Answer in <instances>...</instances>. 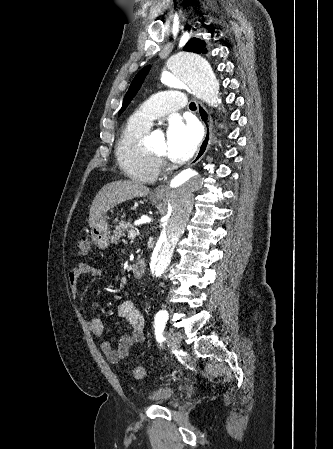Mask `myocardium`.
I'll list each match as a JSON object with an SVG mask.
<instances>
[{
	"instance_id": "1",
	"label": "myocardium",
	"mask_w": 333,
	"mask_h": 449,
	"mask_svg": "<svg viewBox=\"0 0 333 449\" xmlns=\"http://www.w3.org/2000/svg\"><path fill=\"white\" fill-rule=\"evenodd\" d=\"M149 153L151 154V156L158 162L161 163L165 160V156L164 155H159L154 153L153 151H149Z\"/></svg>"
}]
</instances>
